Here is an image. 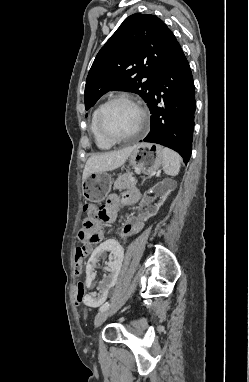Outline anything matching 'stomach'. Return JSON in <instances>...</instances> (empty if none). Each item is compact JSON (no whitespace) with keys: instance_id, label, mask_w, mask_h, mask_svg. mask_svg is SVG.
Masks as SVG:
<instances>
[{"instance_id":"0dacf381","label":"stomach","mask_w":249,"mask_h":382,"mask_svg":"<svg viewBox=\"0 0 249 382\" xmlns=\"http://www.w3.org/2000/svg\"><path fill=\"white\" fill-rule=\"evenodd\" d=\"M162 147L151 143H140L133 146L129 156V166L133 169L152 174L162 164ZM111 177L105 172H94L82 183V193L86 200L99 203L105 199L111 190Z\"/></svg>"}]
</instances>
